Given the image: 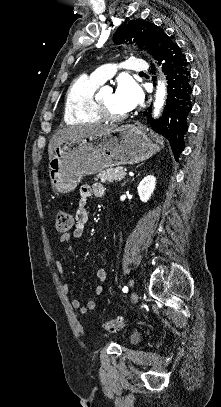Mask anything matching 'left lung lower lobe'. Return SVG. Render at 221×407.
Segmentation results:
<instances>
[{
  "mask_svg": "<svg viewBox=\"0 0 221 407\" xmlns=\"http://www.w3.org/2000/svg\"><path fill=\"white\" fill-rule=\"evenodd\" d=\"M158 63L167 75L168 96L163 114L159 119H151V107L147 114L150 126L166 137L176 158L184 149L183 136L187 131V116L191 111L190 72L180 47L166 34L161 43ZM146 115V114H144Z\"/></svg>",
  "mask_w": 221,
  "mask_h": 407,
  "instance_id": "0a47b994",
  "label": "left lung lower lobe"
}]
</instances>
